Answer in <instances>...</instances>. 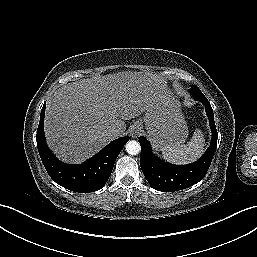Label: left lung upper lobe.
Instances as JSON below:
<instances>
[{"label": "left lung upper lobe", "instance_id": "left-lung-upper-lobe-1", "mask_svg": "<svg viewBox=\"0 0 257 257\" xmlns=\"http://www.w3.org/2000/svg\"><path fill=\"white\" fill-rule=\"evenodd\" d=\"M190 92L193 97L203 95V93L200 91V89L195 85L191 86Z\"/></svg>", "mask_w": 257, "mask_h": 257}]
</instances>
